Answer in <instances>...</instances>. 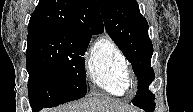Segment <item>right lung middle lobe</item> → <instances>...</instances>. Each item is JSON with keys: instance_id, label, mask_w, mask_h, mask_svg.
Segmentation results:
<instances>
[{"instance_id": "1", "label": "right lung middle lobe", "mask_w": 193, "mask_h": 112, "mask_svg": "<svg viewBox=\"0 0 193 112\" xmlns=\"http://www.w3.org/2000/svg\"><path fill=\"white\" fill-rule=\"evenodd\" d=\"M91 35L41 30L27 36L31 107H54L86 95L84 53Z\"/></svg>"}]
</instances>
